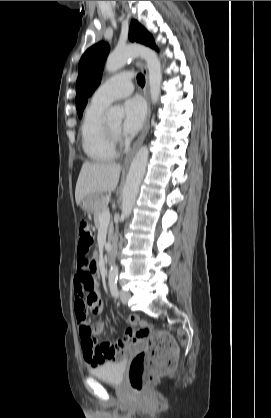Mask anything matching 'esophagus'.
<instances>
[{
  "label": "esophagus",
  "mask_w": 271,
  "mask_h": 418,
  "mask_svg": "<svg viewBox=\"0 0 271 418\" xmlns=\"http://www.w3.org/2000/svg\"><path fill=\"white\" fill-rule=\"evenodd\" d=\"M137 65L140 67L144 77H145V88H144V96L145 99L147 101V116H146V121H145V125L144 128L140 134V136L138 137V139L136 140V142L134 143L132 149L130 150V152L128 153V155L126 156L125 160H124V165L127 166L130 164L133 156L135 155V153L137 152L138 148L141 146V144L143 143L148 129H149V121H150V116H151V103H150V98H149V78H148V70L146 65L144 64V62L140 59L137 60Z\"/></svg>",
  "instance_id": "obj_1"
}]
</instances>
